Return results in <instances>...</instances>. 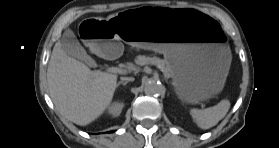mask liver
<instances>
[{"mask_svg": "<svg viewBox=\"0 0 279 148\" xmlns=\"http://www.w3.org/2000/svg\"><path fill=\"white\" fill-rule=\"evenodd\" d=\"M50 97L59 113L77 125L96 120L110 105L117 75L92 71L54 45L47 69Z\"/></svg>", "mask_w": 279, "mask_h": 148, "instance_id": "liver-1", "label": "liver"}]
</instances>
